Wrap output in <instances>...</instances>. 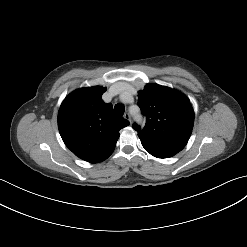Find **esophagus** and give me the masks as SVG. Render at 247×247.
I'll return each instance as SVG.
<instances>
[{
    "mask_svg": "<svg viewBox=\"0 0 247 247\" xmlns=\"http://www.w3.org/2000/svg\"><path fill=\"white\" fill-rule=\"evenodd\" d=\"M124 118L127 119L129 122H131V116L129 113H125Z\"/></svg>",
    "mask_w": 247,
    "mask_h": 247,
    "instance_id": "esophagus-1",
    "label": "esophagus"
}]
</instances>
